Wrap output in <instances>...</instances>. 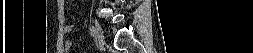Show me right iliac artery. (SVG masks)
Instances as JSON below:
<instances>
[{
    "mask_svg": "<svg viewBox=\"0 0 253 53\" xmlns=\"http://www.w3.org/2000/svg\"><path fill=\"white\" fill-rule=\"evenodd\" d=\"M90 33H91V36L95 39V41H97L95 28L93 26L90 28Z\"/></svg>",
    "mask_w": 253,
    "mask_h": 53,
    "instance_id": "82829eb1",
    "label": "right iliac artery"
}]
</instances>
